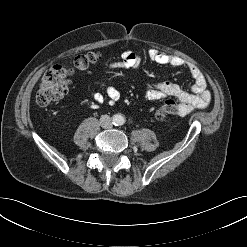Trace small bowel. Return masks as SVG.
I'll return each mask as SVG.
<instances>
[{"instance_id":"c3829d8e","label":"small bowel","mask_w":247,"mask_h":247,"mask_svg":"<svg viewBox=\"0 0 247 247\" xmlns=\"http://www.w3.org/2000/svg\"><path fill=\"white\" fill-rule=\"evenodd\" d=\"M148 58L158 64L186 68L193 79V85L191 91L187 92L178 85L168 81L150 83L145 89L146 98L150 100H161L167 96L177 98L180 102L179 115L181 116L191 113L196 108H205L210 103L211 94L207 89L206 77L196 66L187 63L178 56L159 49H150L148 51ZM141 62L142 57L140 55L126 51L121 55L120 61L110 64V67L138 69ZM105 94L112 101H117L120 98L119 90L113 86H108ZM91 96L97 103H102L105 99L104 94L100 92H93Z\"/></svg>"}]
</instances>
